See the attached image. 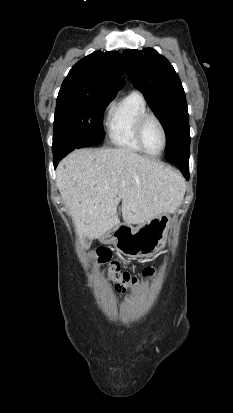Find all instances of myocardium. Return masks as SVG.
Segmentation results:
<instances>
[{
	"mask_svg": "<svg viewBox=\"0 0 233 413\" xmlns=\"http://www.w3.org/2000/svg\"><path fill=\"white\" fill-rule=\"evenodd\" d=\"M149 119H153L157 122V124L159 125L162 135H163V144L161 149L157 152V153H152L150 152L143 141V128L145 123L147 122V120ZM135 138L136 141L138 143V145L140 146V148L143 150V152H145L146 154L150 155V156H159L163 153V151L165 150L166 146H167V131L166 128L162 122V120L153 112L150 111H146L143 114H141L135 124Z\"/></svg>",
	"mask_w": 233,
	"mask_h": 413,
	"instance_id": "f54148a6",
	"label": "myocardium"
}]
</instances>
